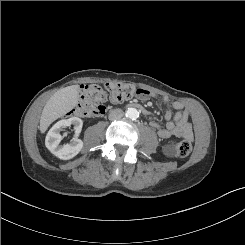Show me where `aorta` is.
I'll return each instance as SVG.
<instances>
[{"instance_id": "aorta-1", "label": "aorta", "mask_w": 245, "mask_h": 245, "mask_svg": "<svg viewBox=\"0 0 245 245\" xmlns=\"http://www.w3.org/2000/svg\"><path fill=\"white\" fill-rule=\"evenodd\" d=\"M126 117H128L129 119H136L139 117V112L137 111L136 108H128L126 110Z\"/></svg>"}]
</instances>
